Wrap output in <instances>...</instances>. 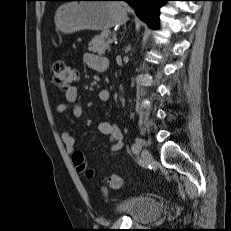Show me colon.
Instances as JSON below:
<instances>
[{
	"label": "colon",
	"instance_id": "obj_1",
	"mask_svg": "<svg viewBox=\"0 0 231 231\" xmlns=\"http://www.w3.org/2000/svg\"><path fill=\"white\" fill-rule=\"evenodd\" d=\"M53 80L57 88L61 90H67L78 80V70L63 61H57L53 64ZM73 161L76 167L83 171L86 169L85 158L82 153H75ZM88 176H92V171H87ZM106 184L108 187L117 189L123 184V178L117 174H111L106 177Z\"/></svg>",
	"mask_w": 231,
	"mask_h": 231
}]
</instances>
